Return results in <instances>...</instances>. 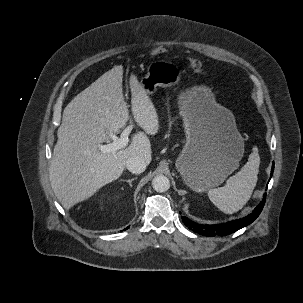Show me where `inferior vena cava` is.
I'll use <instances>...</instances> for the list:
<instances>
[{"mask_svg": "<svg viewBox=\"0 0 303 303\" xmlns=\"http://www.w3.org/2000/svg\"><path fill=\"white\" fill-rule=\"evenodd\" d=\"M148 162L139 156H134L126 161V168L133 174H140L145 171Z\"/></svg>", "mask_w": 303, "mask_h": 303, "instance_id": "inferior-vena-cava-1", "label": "inferior vena cava"}]
</instances>
